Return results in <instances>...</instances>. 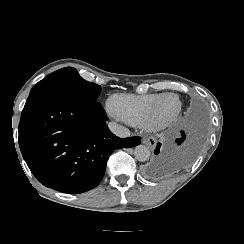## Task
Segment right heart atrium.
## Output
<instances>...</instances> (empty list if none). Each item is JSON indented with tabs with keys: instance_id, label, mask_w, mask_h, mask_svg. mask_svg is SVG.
Listing matches in <instances>:
<instances>
[{
	"instance_id": "right-heart-atrium-1",
	"label": "right heart atrium",
	"mask_w": 244,
	"mask_h": 244,
	"mask_svg": "<svg viewBox=\"0 0 244 244\" xmlns=\"http://www.w3.org/2000/svg\"><path fill=\"white\" fill-rule=\"evenodd\" d=\"M110 113H111V114L114 113V112H113V109H112V104H111V106H110Z\"/></svg>"
}]
</instances>
